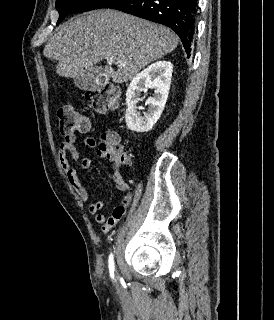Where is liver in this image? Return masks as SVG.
I'll return each instance as SVG.
<instances>
[{"label":"liver","instance_id":"6515ba94","mask_svg":"<svg viewBox=\"0 0 274 320\" xmlns=\"http://www.w3.org/2000/svg\"><path fill=\"white\" fill-rule=\"evenodd\" d=\"M178 42V36L161 24L118 10H94L56 28L43 54L56 64V74L65 78L92 72L94 64L113 58L117 72L108 64L104 74L115 84H126L145 66L176 50Z\"/></svg>","mask_w":274,"mask_h":320}]
</instances>
